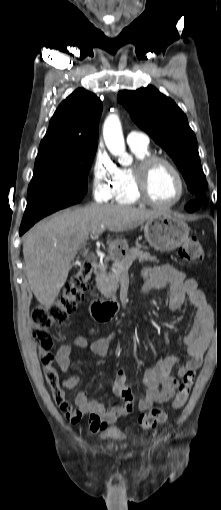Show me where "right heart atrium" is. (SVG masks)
Returning <instances> with one entry per match:
<instances>
[{
    "label": "right heart atrium",
    "instance_id": "obj_1",
    "mask_svg": "<svg viewBox=\"0 0 221 510\" xmlns=\"http://www.w3.org/2000/svg\"><path fill=\"white\" fill-rule=\"evenodd\" d=\"M116 186V166L102 148L95 152L91 167V189L97 202L113 199Z\"/></svg>",
    "mask_w": 221,
    "mask_h": 510
}]
</instances>
